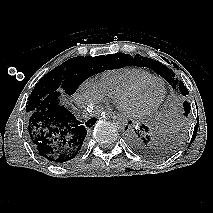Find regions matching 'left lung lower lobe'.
<instances>
[{
  "mask_svg": "<svg viewBox=\"0 0 213 213\" xmlns=\"http://www.w3.org/2000/svg\"><path fill=\"white\" fill-rule=\"evenodd\" d=\"M127 128H125V138L134 152L147 158L165 156L162 148L163 137L157 130L145 124L130 129Z\"/></svg>",
  "mask_w": 213,
  "mask_h": 213,
  "instance_id": "0a47b994",
  "label": "left lung lower lobe"
}]
</instances>
